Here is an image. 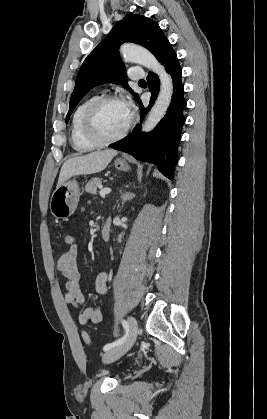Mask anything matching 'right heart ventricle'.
<instances>
[{
    "label": "right heart ventricle",
    "mask_w": 267,
    "mask_h": 419,
    "mask_svg": "<svg viewBox=\"0 0 267 419\" xmlns=\"http://www.w3.org/2000/svg\"><path fill=\"white\" fill-rule=\"evenodd\" d=\"M97 96L91 95L84 99L74 110L71 119V144L75 151L86 153L96 149L98 146L85 138L82 133V117L87 106Z\"/></svg>",
    "instance_id": "e07e8e85"
}]
</instances>
